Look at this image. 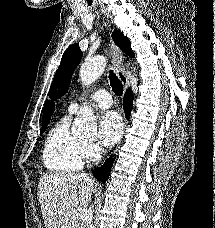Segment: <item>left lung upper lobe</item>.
I'll return each mask as SVG.
<instances>
[{
    "instance_id": "5c2ea615",
    "label": "left lung upper lobe",
    "mask_w": 215,
    "mask_h": 228,
    "mask_svg": "<svg viewBox=\"0 0 215 228\" xmlns=\"http://www.w3.org/2000/svg\"><path fill=\"white\" fill-rule=\"evenodd\" d=\"M112 37L122 51L127 55L134 57V53L130 47V41L123 35V33H120V31L117 30L113 33ZM81 59L82 51L77 43L72 44L66 49L50 88L49 96L51 98L57 99L66 93L71 81L72 73L80 63Z\"/></svg>"
}]
</instances>
